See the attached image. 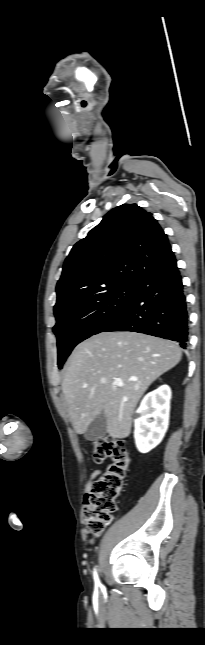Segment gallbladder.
Here are the masks:
<instances>
[{
	"label": "gallbladder",
	"instance_id": "bac80fb5",
	"mask_svg": "<svg viewBox=\"0 0 205 645\" xmlns=\"http://www.w3.org/2000/svg\"><path fill=\"white\" fill-rule=\"evenodd\" d=\"M107 433V419L104 414L98 415L87 427L84 437L86 440L95 441Z\"/></svg>",
	"mask_w": 205,
	"mask_h": 645
}]
</instances>
